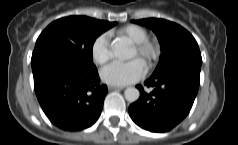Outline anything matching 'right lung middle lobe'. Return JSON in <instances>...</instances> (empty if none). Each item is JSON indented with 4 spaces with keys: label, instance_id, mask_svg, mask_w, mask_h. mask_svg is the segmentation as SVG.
Masks as SVG:
<instances>
[{
    "label": "right lung middle lobe",
    "instance_id": "obj_1",
    "mask_svg": "<svg viewBox=\"0 0 238 145\" xmlns=\"http://www.w3.org/2000/svg\"><path fill=\"white\" fill-rule=\"evenodd\" d=\"M116 24L87 16L58 19L38 37L31 61L45 57H65L86 67H95L92 62L94 41Z\"/></svg>",
    "mask_w": 238,
    "mask_h": 145
}]
</instances>
